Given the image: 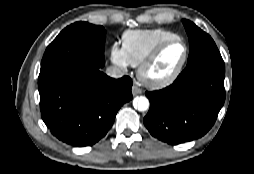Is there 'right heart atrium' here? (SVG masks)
Instances as JSON below:
<instances>
[{
    "label": "right heart atrium",
    "instance_id": "1",
    "mask_svg": "<svg viewBox=\"0 0 254 174\" xmlns=\"http://www.w3.org/2000/svg\"><path fill=\"white\" fill-rule=\"evenodd\" d=\"M109 56L111 62L120 68L127 69L130 65L127 61L123 48L117 43L112 44L110 47Z\"/></svg>",
    "mask_w": 254,
    "mask_h": 174
}]
</instances>
